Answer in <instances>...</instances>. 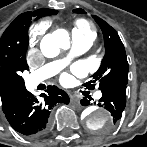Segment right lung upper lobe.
<instances>
[{
	"label": "right lung upper lobe",
	"mask_w": 147,
	"mask_h": 147,
	"mask_svg": "<svg viewBox=\"0 0 147 147\" xmlns=\"http://www.w3.org/2000/svg\"><path fill=\"white\" fill-rule=\"evenodd\" d=\"M57 14L56 10L42 8L35 12L19 15L5 30L0 39V96L2 108L22 99L28 91L20 76L28 70L26 52L29 37L22 29L30 23L33 16L39 19L43 16Z\"/></svg>",
	"instance_id": "right-lung-upper-lobe-1"
}]
</instances>
